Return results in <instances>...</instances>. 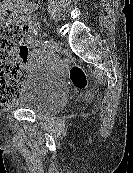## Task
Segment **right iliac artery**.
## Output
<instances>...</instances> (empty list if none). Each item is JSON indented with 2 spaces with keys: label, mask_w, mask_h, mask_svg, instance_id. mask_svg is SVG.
<instances>
[{
  "label": "right iliac artery",
  "mask_w": 133,
  "mask_h": 173,
  "mask_svg": "<svg viewBox=\"0 0 133 173\" xmlns=\"http://www.w3.org/2000/svg\"><path fill=\"white\" fill-rule=\"evenodd\" d=\"M48 46H49V41H43V47H44V49H46V48H48Z\"/></svg>",
  "instance_id": "82829eb1"
}]
</instances>
